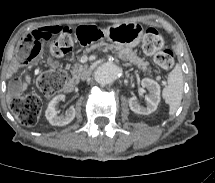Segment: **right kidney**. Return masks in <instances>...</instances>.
Listing matches in <instances>:
<instances>
[{"mask_svg": "<svg viewBox=\"0 0 215 183\" xmlns=\"http://www.w3.org/2000/svg\"><path fill=\"white\" fill-rule=\"evenodd\" d=\"M63 100H65V95L60 94L55 96L48 104L45 116L51 125L65 126L75 118L76 111L74 108L68 109L64 115H58L56 109L58 103Z\"/></svg>", "mask_w": 215, "mask_h": 183, "instance_id": "1", "label": "right kidney"}]
</instances>
